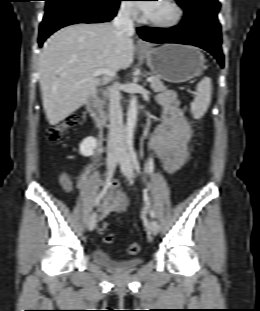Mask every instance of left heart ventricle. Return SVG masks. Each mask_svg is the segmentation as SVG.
<instances>
[{"instance_id":"obj_1","label":"left heart ventricle","mask_w":260,"mask_h":311,"mask_svg":"<svg viewBox=\"0 0 260 311\" xmlns=\"http://www.w3.org/2000/svg\"><path fill=\"white\" fill-rule=\"evenodd\" d=\"M173 15V9L166 2V0H159L154 5L152 12L147 15V17L155 21H167L171 19Z\"/></svg>"}]
</instances>
